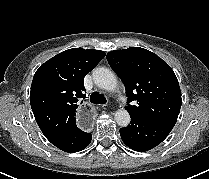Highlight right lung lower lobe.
I'll return each mask as SVG.
<instances>
[{"mask_svg":"<svg viewBox=\"0 0 209 179\" xmlns=\"http://www.w3.org/2000/svg\"><path fill=\"white\" fill-rule=\"evenodd\" d=\"M91 139L92 135L90 133H86L76 127L68 134L52 142V144L65 152L73 153L86 148L90 144Z\"/></svg>","mask_w":209,"mask_h":179,"instance_id":"98d812e1","label":"right lung lower lobe"}]
</instances>
